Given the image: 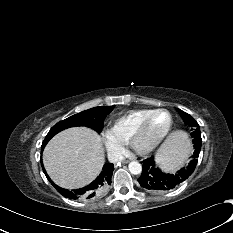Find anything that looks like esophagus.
Segmentation results:
<instances>
[{"instance_id":"1","label":"esophagus","mask_w":233,"mask_h":233,"mask_svg":"<svg viewBox=\"0 0 233 233\" xmlns=\"http://www.w3.org/2000/svg\"><path fill=\"white\" fill-rule=\"evenodd\" d=\"M121 162H122L123 164H126V163H129L130 161L127 160V159H124V160H122Z\"/></svg>"}]
</instances>
